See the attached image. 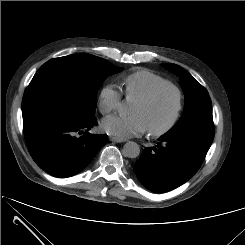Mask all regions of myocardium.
I'll list each match as a JSON object with an SVG mask.
<instances>
[{"instance_id": "1", "label": "myocardium", "mask_w": 245, "mask_h": 245, "mask_svg": "<svg viewBox=\"0 0 245 245\" xmlns=\"http://www.w3.org/2000/svg\"><path fill=\"white\" fill-rule=\"evenodd\" d=\"M165 92H171L175 96V107L169 121L164 126L157 129L148 128V133L153 137L166 135L176 126L177 122L179 121L183 109V94L181 89L172 83L165 84L157 86L143 96L133 100L134 102L145 104L156 100Z\"/></svg>"}]
</instances>
